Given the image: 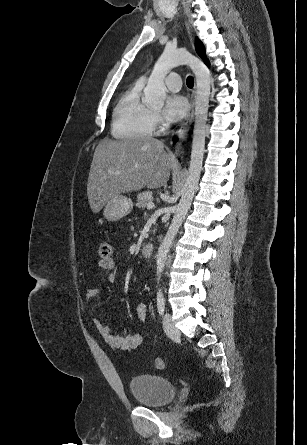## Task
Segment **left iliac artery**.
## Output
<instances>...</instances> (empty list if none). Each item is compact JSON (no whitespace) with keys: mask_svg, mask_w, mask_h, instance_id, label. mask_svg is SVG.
<instances>
[{"mask_svg":"<svg viewBox=\"0 0 307 445\" xmlns=\"http://www.w3.org/2000/svg\"><path fill=\"white\" fill-rule=\"evenodd\" d=\"M157 309L160 315H163L165 310V299L161 290L157 292Z\"/></svg>","mask_w":307,"mask_h":445,"instance_id":"obj_1","label":"left iliac artery"}]
</instances>
